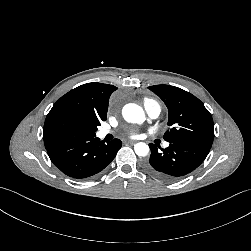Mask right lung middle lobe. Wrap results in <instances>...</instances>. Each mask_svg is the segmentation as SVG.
Segmentation results:
<instances>
[{
  "mask_svg": "<svg viewBox=\"0 0 251 251\" xmlns=\"http://www.w3.org/2000/svg\"><path fill=\"white\" fill-rule=\"evenodd\" d=\"M100 121L71 109H61L46 118L44 130L52 141L95 136Z\"/></svg>",
  "mask_w": 251,
  "mask_h": 251,
  "instance_id": "obj_1",
  "label": "right lung middle lobe"
}]
</instances>
